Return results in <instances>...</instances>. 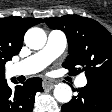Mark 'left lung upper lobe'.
Here are the masks:
<instances>
[{
	"label": "left lung upper lobe",
	"mask_w": 112,
	"mask_h": 112,
	"mask_svg": "<svg viewBox=\"0 0 112 112\" xmlns=\"http://www.w3.org/2000/svg\"><path fill=\"white\" fill-rule=\"evenodd\" d=\"M44 21L66 34L69 55L62 64L64 68L72 74L84 72L88 81L112 83V36L101 24L78 15Z\"/></svg>",
	"instance_id": "5c2ea615"
}]
</instances>
